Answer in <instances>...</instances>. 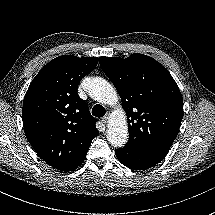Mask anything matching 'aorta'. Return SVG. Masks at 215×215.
<instances>
[{
    "instance_id": "1",
    "label": "aorta",
    "mask_w": 215,
    "mask_h": 215,
    "mask_svg": "<svg viewBox=\"0 0 215 215\" xmlns=\"http://www.w3.org/2000/svg\"><path fill=\"white\" fill-rule=\"evenodd\" d=\"M89 95L91 98L101 103L114 104L118 100L115 88L101 77L92 79ZM128 137L127 121L123 112H121L118 118L113 123L109 124L107 140L114 147L120 148L128 142Z\"/></svg>"
}]
</instances>
